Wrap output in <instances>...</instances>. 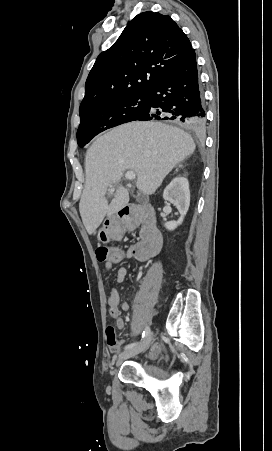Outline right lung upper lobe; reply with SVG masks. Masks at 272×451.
Masks as SVG:
<instances>
[{
    "label": "right lung upper lobe",
    "mask_w": 272,
    "mask_h": 451,
    "mask_svg": "<svg viewBox=\"0 0 272 451\" xmlns=\"http://www.w3.org/2000/svg\"><path fill=\"white\" fill-rule=\"evenodd\" d=\"M193 52L189 39L170 16L151 11L137 15L97 57L79 113L109 100L148 94Z\"/></svg>",
    "instance_id": "cb5924a9"
}]
</instances>
